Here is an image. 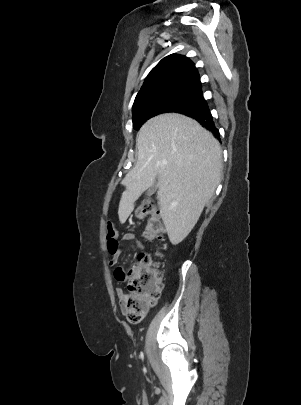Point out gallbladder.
<instances>
[{
    "mask_svg": "<svg viewBox=\"0 0 301 405\" xmlns=\"http://www.w3.org/2000/svg\"><path fill=\"white\" fill-rule=\"evenodd\" d=\"M157 190V184L155 183L154 185H152L146 192V195L149 197L151 195H153Z\"/></svg>",
    "mask_w": 301,
    "mask_h": 405,
    "instance_id": "1",
    "label": "gallbladder"
}]
</instances>
